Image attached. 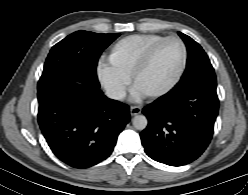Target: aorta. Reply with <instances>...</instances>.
Segmentation results:
<instances>
[{
	"mask_svg": "<svg viewBox=\"0 0 248 195\" xmlns=\"http://www.w3.org/2000/svg\"><path fill=\"white\" fill-rule=\"evenodd\" d=\"M133 127L137 130H144L147 127L148 121L144 115H136L132 119Z\"/></svg>",
	"mask_w": 248,
	"mask_h": 195,
	"instance_id": "762f6f07",
	"label": "aorta"
}]
</instances>
